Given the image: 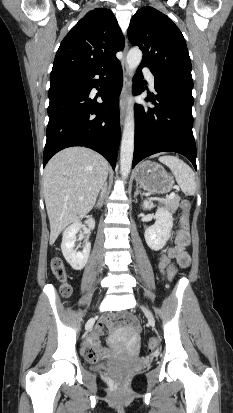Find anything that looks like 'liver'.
<instances>
[{
	"mask_svg": "<svg viewBox=\"0 0 233 413\" xmlns=\"http://www.w3.org/2000/svg\"><path fill=\"white\" fill-rule=\"evenodd\" d=\"M107 174V161L89 148H66L51 158L43 179L50 245L66 226L91 211Z\"/></svg>",
	"mask_w": 233,
	"mask_h": 413,
	"instance_id": "liver-1",
	"label": "liver"
}]
</instances>
